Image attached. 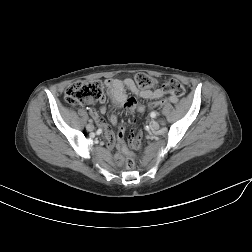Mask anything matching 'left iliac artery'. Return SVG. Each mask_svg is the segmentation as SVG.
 <instances>
[{
  "label": "left iliac artery",
  "instance_id": "obj_1",
  "mask_svg": "<svg viewBox=\"0 0 252 252\" xmlns=\"http://www.w3.org/2000/svg\"><path fill=\"white\" fill-rule=\"evenodd\" d=\"M156 115H157V113H156V112H151V113H150V116H151L152 118H155V117H156Z\"/></svg>",
  "mask_w": 252,
  "mask_h": 252
}]
</instances>
